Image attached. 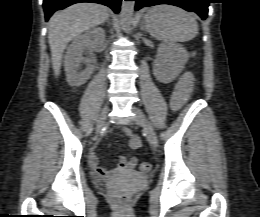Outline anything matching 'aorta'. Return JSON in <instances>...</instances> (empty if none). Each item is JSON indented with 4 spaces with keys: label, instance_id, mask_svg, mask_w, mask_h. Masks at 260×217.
<instances>
[{
    "label": "aorta",
    "instance_id": "1",
    "mask_svg": "<svg viewBox=\"0 0 260 217\" xmlns=\"http://www.w3.org/2000/svg\"><path fill=\"white\" fill-rule=\"evenodd\" d=\"M134 8H135L134 1H125V0L122 1L120 18L126 32L130 30V26L133 22Z\"/></svg>",
    "mask_w": 260,
    "mask_h": 217
}]
</instances>
